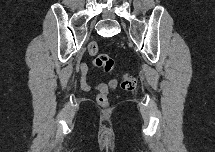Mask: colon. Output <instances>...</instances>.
Listing matches in <instances>:
<instances>
[{
    "mask_svg": "<svg viewBox=\"0 0 215 152\" xmlns=\"http://www.w3.org/2000/svg\"><path fill=\"white\" fill-rule=\"evenodd\" d=\"M88 52L94 58V65L96 67L103 68L106 72H111L114 69V61L107 54L98 53V44L96 42H90L88 45ZM137 81L130 73H124L121 77V87L123 90L132 92L136 89ZM97 101L100 105H106L108 98L106 94H99Z\"/></svg>",
    "mask_w": 215,
    "mask_h": 152,
    "instance_id": "colon-1",
    "label": "colon"
}]
</instances>
